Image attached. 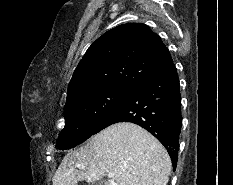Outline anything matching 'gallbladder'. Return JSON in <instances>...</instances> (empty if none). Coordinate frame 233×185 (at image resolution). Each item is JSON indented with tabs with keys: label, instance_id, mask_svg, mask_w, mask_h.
Segmentation results:
<instances>
[{
	"label": "gallbladder",
	"instance_id": "bac80fb5",
	"mask_svg": "<svg viewBox=\"0 0 233 185\" xmlns=\"http://www.w3.org/2000/svg\"><path fill=\"white\" fill-rule=\"evenodd\" d=\"M91 185H104V184H103L102 181H97V182H95V183H93V184H91Z\"/></svg>",
	"mask_w": 233,
	"mask_h": 185
}]
</instances>
